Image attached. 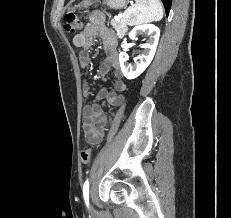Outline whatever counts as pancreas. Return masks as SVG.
<instances>
[{
	"instance_id": "cf45deb5",
	"label": "pancreas",
	"mask_w": 231,
	"mask_h": 218,
	"mask_svg": "<svg viewBox=\"0 0 231 218\" xmlns=\"http://www.w3.org/2000/svg\"><path fill=\"white\" fill-rule=\"evenodd\" d=\"M111 25L116 30L119 38H122L127 32V24L123 19H119V20L113 19L111 20Z\"/></svg>"
}]
</instances>
